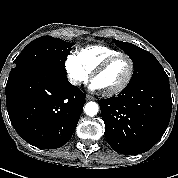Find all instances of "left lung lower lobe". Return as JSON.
Listing matches in <instances>:
<instances>
[{"label":"left lung lower lobe","instance_id":"obj_1","mask_svg":"<svg viewBox=\"0 0 178 178\" xmlns=\"http://www.w3.org/2000/svg\"><path fill=\"white\" fill-rule=\"evenodd\" d=\"M109 145L118 153L135 155L151 149L170 121L169 78L126 86L117 97L98 100Z\"/></svg>","mask_w":178,"mask_h":178}]
</instances>
